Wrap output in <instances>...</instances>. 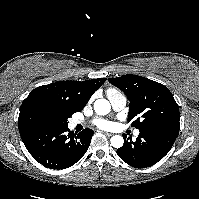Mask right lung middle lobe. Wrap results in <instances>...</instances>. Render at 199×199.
I'll use <instances>...</instances> for the list:
<instances>
[{"label":"right lung middle lobe","mask_w":199,"mask_h":199,"mask_svg":"<svg viewBox=\"0 0 199 199\" xmlns=\"http://www.w3.org/2000/svg\"><path fill=\"white\" fill-rule=\"evenodd\" d=\"M75 113L61 104L43 105L27 111L18 120V126L24 128L64 127L67 126V118Z\"/></svg>","instance_id":"dd1d6c3e"}]
</instances>
